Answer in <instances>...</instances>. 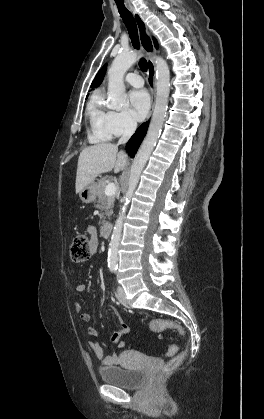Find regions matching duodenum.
<instances>
[{
    "label": "duodenum",
    "mask_w": 264,
    "mask_h": 419,
    "mask_svg": "<svg viewBox=\"0 0 264 419\" xmlns=\"http://www.w3.org/2000/svg\"><path fill=\"white\" fill-rule=\"evenodd\" d=\"M112 230H113L112 223L107 222L102 226L101 234L104 238H108L111 235Z\"/></svg>",
    "instance_id": "410a0bca"
}]
</instances>
